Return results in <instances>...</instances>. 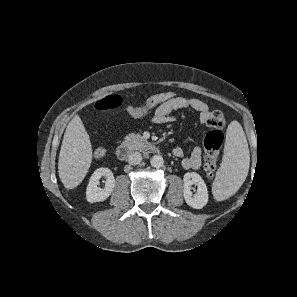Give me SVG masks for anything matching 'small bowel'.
<instances>
[{
  "mask_svg": "<svg viewBox=\"0 0 297 297\" xmlns=\"http://www.w3.org/2000/svg\"><path fill=\"white\" fill-rule=\"evenodd\" d=\"M191 108L199 113V120L202 124L207 123L210 115V109L206 102L196 97H174L166 102H163L151 109L143 110L141 106H127L128 113L133 117H141L152 111V121L156 124L171 122L175 119L173 112ZM173 155L181 158V164L185 169H199L202 162V150L200 147H195L189 155H184V151L180 147L173 149Z\"/></svg>",
  "mask_w": 297,
  "mask_h": 297,
  "instance_id": "obj_1",
  "label": "small bowel"
}]
</instances>
